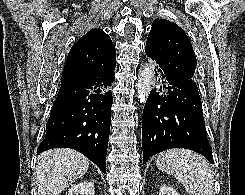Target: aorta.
<instances>
[{
  "label": "aorta",
  "instance_id": "aorta-1",
  "mask_svg": "<svg viewBox=\"0 0 245 195\" xmlns=\"http://www.w3.org/2000/svg\"><path fill=\"white\" fill-rule=\"evenodd\" d=\"M153 69L150 65L142 66L136 82L137 96L144 103L151 91Z\"/></svg>",
  "mask_w": 245,
  "mask_h": 195
}]
</instances>
